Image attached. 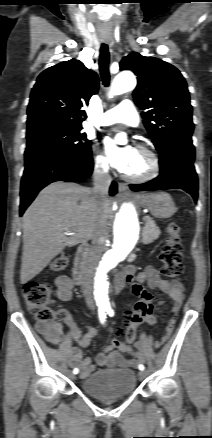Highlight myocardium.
Masks as SVG:
<instances>
[{
    "mask_svg": "<svg viewBox=\"0 0 212 438\" xmlns=\"http://www.w3.org/2000/svg\"><path fill=\"white\" fill-rule=\"evenodd\" d=\"M137 150L146 154L150 159V168L148 172L141 176H132L123 172L122 176L125 180L132 183H146L155 179L159 175L161 170L160 159L153 150L146 146L139 145L137 147Z\"/></svg>",
    "mask_w": 212,
    "mask_h": 438,
    "instance_id": "f54148a6",
    "label": "myocardium"
}]
</instances>
